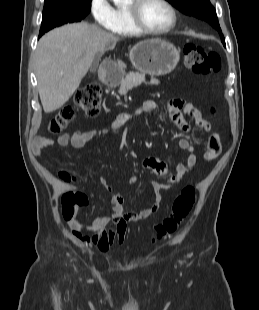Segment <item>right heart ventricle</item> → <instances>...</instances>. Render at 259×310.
Here are the masks:
<instances>
[{"mask_svg":"<svg viewBox=\"0 0 259 310\" xmlns=\"http://www.w3.org/2000/svg\"><path fill=\"white\" fill-rule=\"evenodd\" d=\"M112 30L123 36L134 35L137 32L133 29L130 24L126 8L118 7L115 10V25Z\"/></svg>","mask_w":259,"mask_h":310,"instance_id":"obj_1","label":"right heart ventricle"}]
</instances>
